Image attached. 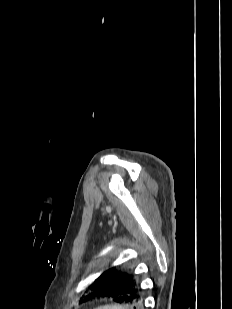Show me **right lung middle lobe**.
I'll return each instance as SVG.
<instances>
[{"label": "right lung middle lobe", "instance_id": "dd1d6c3e", "mask_svg": "<svg viewBox=\"0 0 232 309\" xmlns=\"http://www.w3.org/2000/svg\"><path fill=\"white\" fill-rule=\"evenodd\" d=\"M126 277H131V276L127 275V274H121V273H119L117 271H113V270L112 271H106L98 279H96L95 283L91 287V290H93L94 288H97V287L111 285L116 280L121 279V278H126ZM87 299H88V295L83 297V299H81V302H83V300L85 301Z\"/></svg>", "mask_w": 232, "mask_h": 309}]
</instances>
